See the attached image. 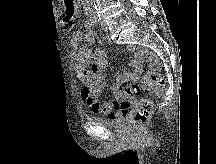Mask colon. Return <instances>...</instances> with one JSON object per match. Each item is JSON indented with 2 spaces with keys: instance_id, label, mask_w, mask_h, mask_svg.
I'll return each mask as SVG.
<instances>
[{
  "instance_id": "5ec220e1",
  "label": "colon",
  "mask_w": 216,
  "mask_h": 164,
  "mask_svg": "<svg viewBox=\"0 0 216 164\" xmlns=\"http://www.w3.org/2000/svg\"><path fill=\"white\" fill-rule=\"evenodd\" d=\"M145 60L150 68V70L141 78L139 83L127 82L122 87V97H138L152 89L160 90L164 86V81L157 77L155 70L159 67L160 62L157 56L152 52H147L145 55ZM152 102L148 99H143L134 115H133V125L135 127H143L148 121L152 113Z\"/></svg>"
}]
</instances>
